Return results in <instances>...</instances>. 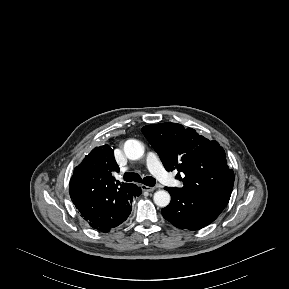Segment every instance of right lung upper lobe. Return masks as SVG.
<instances>
[{
  "instance_id": "right-lung-upper-lobe-1",
  "label": "right lung upper lobe",
  "mask_w": 289,
  "mask_h": 289,
  "mask_svg": "<svg viewBox=\"0 0 289 289\" xmlns=\"http://www.w3.org/2000/svg\"><path fill=\"white\" fill-rule=\"evenodd\" d=\"M112 171H119V167L116 164L113 149L107 144L95 147L74 170L79 175L100 180L112 194H117L129 184L115 180L111 175Z\"/></svg>"
}]
</instances>
